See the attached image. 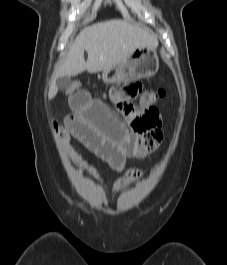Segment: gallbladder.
I'll use <instances>...</instances> for the list:
<instances>
[{
    "mask_svg": "<svg viewBox=\"0 0 227 265\" xmlns=\"http://www.w3.org/2000/svg\"><path fill=\"white\" fill-rule=\"evenodd\" d=\"M69 85H70V77L68 76H62V77L57 78L56 80V86L60 90H64L68 88Z\"/></svg>",
    "mask_w": 227,
    "mask_h": 265,
    "instance_id": "bac80fb5",
    "label": "gallbladder"
}]
</instances>
